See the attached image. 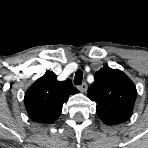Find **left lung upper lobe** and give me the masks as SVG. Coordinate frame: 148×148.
Instances as JSON below:
<instances>
[{
	"instance_id": "left-lung-upper-lobe-1",
	"label": "left lung upper lobe",
	"mask_w": 148,
	"mask_h": 148,
	"mask_svg": "<svg viewBox=\"0 0 148 148\" xmlns=\"http://www.w3.org/2000/svg\"><path fill=\"white\" fill-rule=\"evenodd\" d=\"M88 97L96 102V112L107 125H117L130 118L137 91L122 71L104 66L95 74Z\"/></svg>"
}]
</instances>
